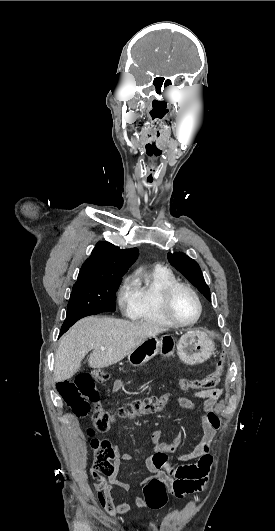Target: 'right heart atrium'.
<instances>
[{
	"mask_svg": "<svg viewBox=\"0 0 275 531\" xmlns=\"http://www.w3.org/2000/svg\"><path fill=\"white\" fill-rule=\"evenodd\" d=\"M118 299L123 313L132 316L138 305V285L132 275L123 279L119 287Z\"/></svg>",
	"mask_w": 275,
	"mask_h": 531,
	"instance_id": "d8ad5b80",
	"label": "right heart atrium"
}]
</instances>
